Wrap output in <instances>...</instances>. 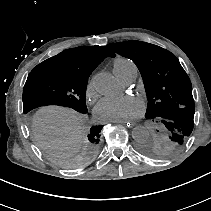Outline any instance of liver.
<instances>
[{"label": "liver", "instance_id": "6515ba94", "mask_svg": "<svg viewBox=\"0 0 211 211\" xmlns=\"http://www.w3.org/2000/svg\"><path fill=\"white\" fill-rule=\"evenodd\" d=\"M83 129L81 116L67 108H41L33 119L36 143L63 158L78 150Z\"/></svg>", "mask_w": 211, "mask_h": 211}]
</instances>
